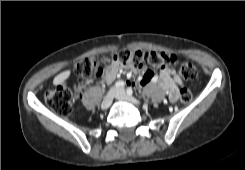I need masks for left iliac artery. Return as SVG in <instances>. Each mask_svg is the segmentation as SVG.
<instances>
[{"label":"left iliac artery","instance_id":"44dca946","mask_svg":"<svg viewBox=\"0 0 245 170\" xmlns=\"http://www.w3.org/2000/svg\"><path fill=\"white\" fill-rule=\"evenodd\" d=\"M133 94V90L131 88L127 89V95L131 96Z\"/></svg>","mask_w":245,"mask_h":170}]
</instances>
